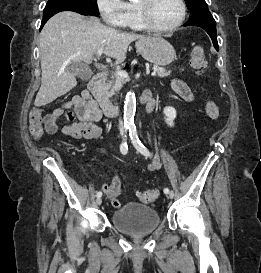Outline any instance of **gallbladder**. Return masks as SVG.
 Returning <instances> with one entry per match:
<instances>
[{
	"mask_svg": "<svg viewBox=\"0 0 261 273\" xmlns=\"http://www.w3.org/2000/svg\"><path fill=\"white\" fill-rule=\"evenodd\" d=\"M66 70L79 77L82 81H88L93 74L92 71L85 67L81 62L69 64Z\"/></svg>",
	"mask_w": 261,
	"mask_h": 273,
	"instance_id": "bac80fb5",
	"label": "gallbladder"
}]
</instances>
